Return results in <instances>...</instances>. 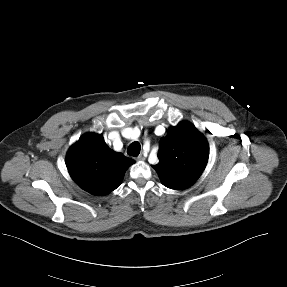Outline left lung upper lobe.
<instances>
[{"instance_id":"5c2ea615","label":"left lung upper lobe","mask_w":287,"mask_h":287,"mask_svg":"<svg viewBox=\"0 0 287 287\" xmlns=\"http://www.w3.org/2000/svg\"><path fill=\"white\" fill-rule=\"evenodd\" d=\"M159 163L153 168L162 183L170 189H183L193 184L206 167L209 146L195 126L181 122L168 129L161 139Z\"/></svg>"}]
</instances>
